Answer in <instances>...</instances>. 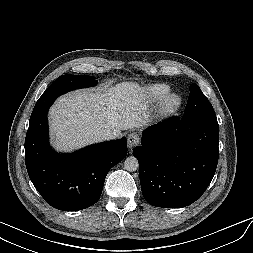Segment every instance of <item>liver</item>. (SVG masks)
<instances>
[{
	"label": "liver",
	"instance_id": "liver-1",
	"mask_svg": "<svg viewBox=\"0 0 253 253\" xmlns=\"http://www.w3.org/2000/svg\"><path fill=\"white\" fill-rule=\"evenodd\" d=\"M147 108L143 88L133 82L68 93L50 108L53 146L65 152L79 149L100 141L97 133L104 129L119 137L122 130L149 122Z\"/></svg>",
	"mask_w": 253,
	"mask_h": 253
}]
</instances>
